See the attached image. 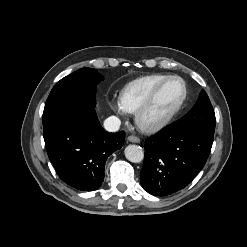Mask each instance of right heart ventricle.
Here are the masks:
<instances>
[{
    "instance_id": "e07e8e85",
    "label": "right heart ventricle",
    "mask_w": 247,
    "mask_h": 247,
    "mask_svg": "<svg viewBox=\"0 0 247 247\" xmlns=\"http://www.w3.org/2000/svg\"><path fill=\"white\" fill-rule=\"evenodd\" d=\"M168 75L153 74L137 78L126 84L120 92L119 102L125 112L135 113L152 90Z\"/></svg>"
}]
</instances>
